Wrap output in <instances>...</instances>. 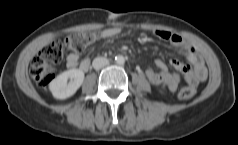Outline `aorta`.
<instances>
[{"label":"aorta","mask_w":238,"mask_h":145,"mask_svg":"<svg viewBox=\"0 0 238 145\" xmlns=\"http://www.w3.org/2000/svg\"><path fill=\"white\" fill-rule=\"evenodd\" d=\"M115 62L118 64V65H122L125 63V58L124 56L122 55H118L115 57Z\"/></svg>","instance_id":"aorta-1"}]
</instances>
